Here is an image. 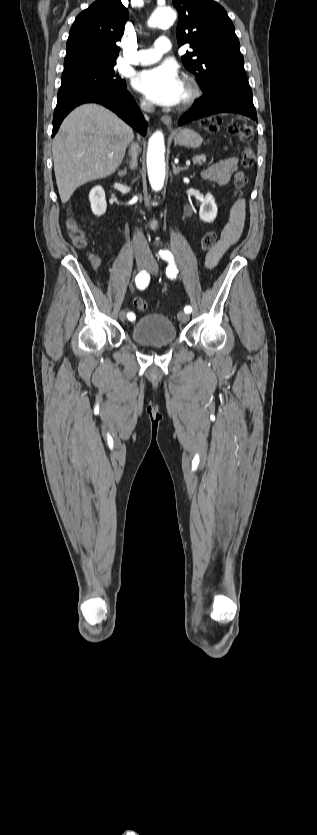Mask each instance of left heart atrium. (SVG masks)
Instances as JSON below:
<instances>
[{"label": "left heart atrium", "instance_id": "left-heart-atrium-1", "mask_svg": "<svg viewBox=\"0 0 317 835\" xmlns=\"http://www.w3.org/2000/svg\"><path fill=\"white\" fill-rule=\"evenodd\" d=\"M136 88L152 102L166 106L180 102L183 93V83L177 69L171 63H164L139 73Z\"/></svg>", "mask_w": 317, "mask_h": 835}]
</instances>
